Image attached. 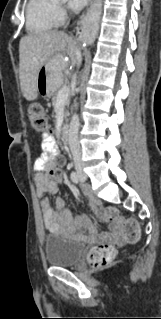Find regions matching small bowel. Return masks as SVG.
Masks as SVG:
<instances>
[{"label":"small bowel","mask_w":161,"mask_h":319,"mask_svg":"<svg viewBox=\"0 0 161 319\" xmlns=\"http://www.w3.org/2000/svg\"><path fill=\"white\" fill-rule=\"evenodd\" d=\"M53 137L50 134L42 136V153L34 162L35 185L38 197L40 198L41 215L43 218L45 228L51 233H63L72 235L76 238L87 233V238L90 241L116 239L120 240V223L114 221L110 224V234L104 237H97V229L95 225L87 218L81 217L78 220H73L71 212L66 208L65 201L61 197L55 200V210L50 206L49 200L44 197V194L55 195L58 192V182L60 178L56 175L50 174L54 166L53 157L56 154V148L52 143ZM100 200L95 197H90V204L92 206H99ZM100 221L105 222L104 218L100 216Z\"/></svg>","instance_id":"obj_1"}]
</instances>
